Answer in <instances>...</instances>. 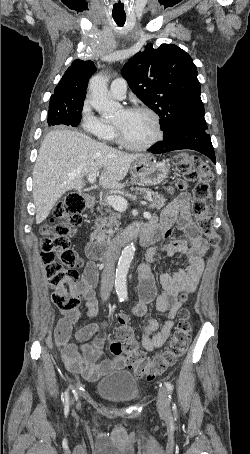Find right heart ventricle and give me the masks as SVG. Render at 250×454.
<instances>
[{
  "label": "right heart ventricle",
  "mask_w": 250,
  "mask_h": 454,
  "mask_svg": "<svg viewBox=\"0 0 250 454\" xmlns=\"http://www.w3.org/2000/svg\"><path fill=\"white\" fill-rule=\"evenodd\" d=\"M100 137L106 141L114 140L116 138L114 127L112 125L106 124V127Z\"/></svg>",
  "instance_id": "obj_1"
}]
</instances>
